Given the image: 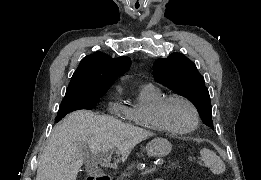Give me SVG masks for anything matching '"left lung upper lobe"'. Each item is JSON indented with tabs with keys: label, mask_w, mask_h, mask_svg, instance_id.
I'll return each instance as SVG.
<instances>
[{
	"label": "left lung upper lobe",
	"mask_w": 261,
	"mask_h": 180,
	"mask_svg": "<svg viewBox=\"0 0 261 180\" xmlns=\"http://www.w3.org/2000/svg\"><path fill=\"white\" fill-rule=\"evenodd\" d=\"M154 78L172 91L187 97L197 108L202 121L213 128L212 108L203 76L195 64L181 53H172L154 63Z\"/></svg>",
	"instance_id": "1"
}]
</instances>
